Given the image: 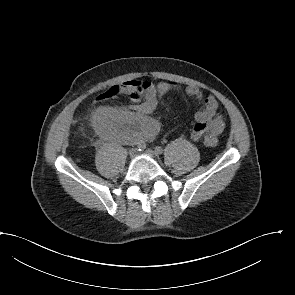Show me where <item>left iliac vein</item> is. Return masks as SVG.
<instances>
[{"mask_svg":"<svg viewBox=\"0 0 295 295\" xmlns=\"http://www.w3.org/2000/svg\"><path fill=\"white\" fill-rule=\"evenodd\" d=\"M145 154L152 157L156 155L155 151L150 148L145 150Z\"/></svg>","mask_w":295,"mask_h":295,"instance_id":"obj_1","label":"left iliac vein"}]
</instances>
